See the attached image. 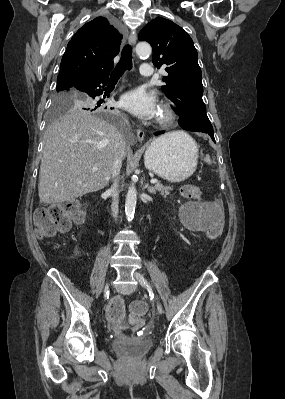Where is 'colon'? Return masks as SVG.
<instances>
[{"label":"colon","instance_id":"colon-1","mask_svg":"<svg viewBox=\"0 0 285 399\" xmlns=\"http://www.w3.org/2000/svg\"><path fill=\"white\" fill-rule=\"evenodd\" d=\"M181 195L188 199H198L201 196V188L195 184H186L181 188ZM83 216L80 203L76 200H69L37 209L33 214L32 223L37 232L50 237L68 230L74 222L80 221ZM221 230L222 223L218 222L209 231L208 237L217 239ZM130 311L134 318L141 321L147 312V306L142 300L137 299L131 303Z\"/></svg>","mask_w":285,"mask_h":399}]
</instances>
